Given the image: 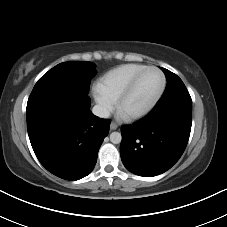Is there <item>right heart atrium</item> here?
Here are the masks:
<instances>
[{
	"label": "right heart atrium",
	"mask_w": 227,
	"mask_h": 227,
	"mask_svg": "<svg viewBox=\"0 0 227 227\" xmlns=\"http://www.w3.org/2000/svg\"><path fill=\"white\" fill-rule=\"evenodd\" d=\"M95 100L100 107V110L106 114L110 112L115 105V100L103 92L100 88H96L94 93Z\"/></svg>",
	"instance_id": "1"
}]
</instances>
